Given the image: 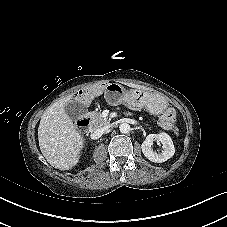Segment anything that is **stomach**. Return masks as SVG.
Listing matches in <instances>:
<instances>
[{"label": "stomach", "instance_id": "stomach-1", "mask_svg": "<svg viewBox=\"0 0 227 227\" xmlns=\"http://www.w3.org/2000/svg\"><path fill=\"white\" fill-rule=\"evenodd\" d=\"M106 99L113 105L126 104L132 108H145L154 114H160L168 106V101L160 94L141 89L126 90L119 84L106 86Z\"/></svg>", "mask_w": 227, "mask_h": 227}]
</instances>
